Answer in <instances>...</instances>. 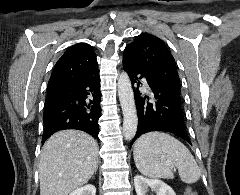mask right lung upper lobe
Returning a JSON list of instances; mask_svg holds the SVG:
<instances>
[{"label":"right lung upper lobe","mask_w":240,"mask_h":195,"mask_svg":"<svg viewBox=\"0 0 240 195\" xmlns=\"http://www.w3.org/2000/svg\"><path fill=\"white\" fill-rule=\"evenodd\" d=\"M98 74V63L92 46L78 43L57 61L48 86L74 84Z\"/></svg>","instance_id":"obj_1"}]
</instances>
